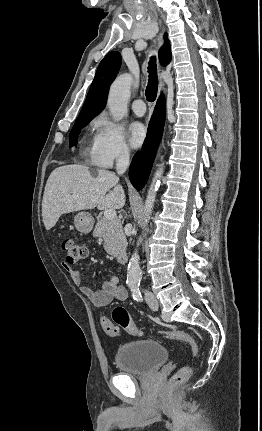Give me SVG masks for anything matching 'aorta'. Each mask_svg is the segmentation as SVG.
Listing matches in <instances>:
<instances>
[{"mask_svg": "<svg viewBox=\"0 0 262 431\" xmlns=\"http://www.w3.org/2000/svg\"><path fill=\"white\" fill-rule=\"evenodd\" d=\"M132 83V76L128 73H124L118 76L115 81L111 84L107 106L114 120L120 121L127 114L128 100L130 97V87ZM164 172L163 164L158 165L154 177L152 179L150 188L145 201L144 206V225H147L152 209L154 207V202L156 199V193L160 186V180ZM141 244V238L137 242V247ZM141 280V269L139 262V255L137 249L132 254L127 270V282L130 285H138Z\"/></svg>", "mask_w": 262, "mask_h": 431, "instance_id": "aorta-1", "label": "aorta"}]
</instances>
